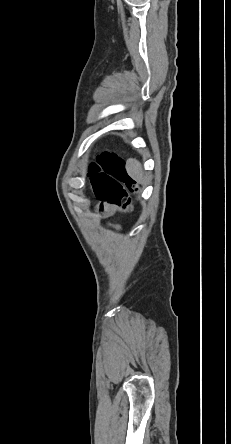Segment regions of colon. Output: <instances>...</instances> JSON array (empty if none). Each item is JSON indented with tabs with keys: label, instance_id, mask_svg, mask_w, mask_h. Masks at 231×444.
<instances>
[{
	"label": "colon",
	"instance_id": "obj_1",
	"mask_svg": "<svg viewBox=\"0 0 231 444\" xmlns=\"http://www.w3.org/2000/svg\"><path fill=\"white\" fill-rule=\"evenodd\" d=\"M88 177L92 184L101 186V200L110 204L131 207L130 194L138 191V187L128 176L124 161L115 153L102 152L88 169Z\"/></svg>",
	"mask_w": 231,
	"mask_h": 444
}]
</instances>
